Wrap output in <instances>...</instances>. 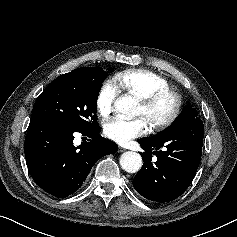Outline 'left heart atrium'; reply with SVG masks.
<instances>
[{
	"label": "left heart atrium",
	"mask_w": 237,
	"mask_h": 237,
	"mask_svg": "<svg viewBox=\"0 0 237 237\" xmlns=\"http://www.w3.org/2000/svg\"><path fill=\"white\" fill-rule=\"evenodd\" d=\"M148 130V123L145 118L136 119L113 118L104 125L105 135L120 144H126L133 138L145 134Z\"/></svg>",
	"instance_id": "1"
}]
</instances>
